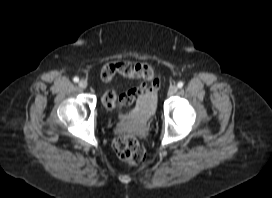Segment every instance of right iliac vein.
<instances>
[{
    "instance_id": "1",
    "label": "right iliac vein",
    "mask_w": 272,
    "mask_h": 198,
    "mask_svg": "<svg viewBox=\"0 0 272 198\" xmlns=\"http://www.w3.org/2000/svg\"><path fill=\"white\" fill-rule=\"evenodd\" d=\"M78 85L80 88L85 89L87 87V82L85 80H80Z\"/></svg>"
}]
</instances>
